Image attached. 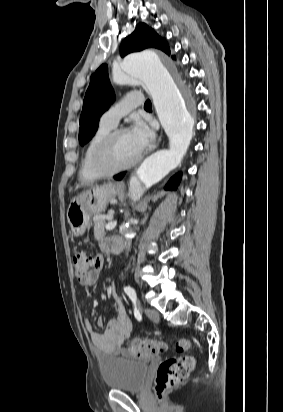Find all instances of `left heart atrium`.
Returning a JSON list of instances; mask_svg holds the SVG:
<instances>
[{"instance_id": "obj_1", "label": "left heart atrium", "mask_w": 283, "mask_h": 412, "mask_svg": "<svg viewBox=\"0 0 283 412\" xmlns=\"http://www.w3.org/2000/svg\"><path fill=\"white\" fill-rule=\"evenodd\" d=\"M128 132L139 153L142 152L153 139L152 130L140 120H137Z\"/></svg>"}]
</instances>
